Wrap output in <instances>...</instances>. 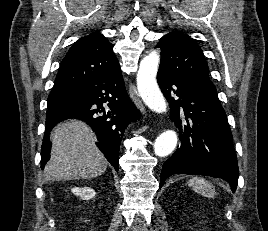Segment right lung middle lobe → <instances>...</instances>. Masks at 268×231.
Listing matches in <instances>:
<instances>
[{
  "label": "right lung middle lobe",
  "instance_id": "1",
  "mask_svg": "<svg viewBox=\"0 0 268 231\" xmlns=\"http://www.w3.org/2000/svg\"><path fill=\"white\" fill-rule=\"evenodd\" d=\"M80 94L79 88H59L53 89L48 97V106L58 105L73 99Z\"/></svg>",
  "mask_w": 268,
  "mask_h": 231
}]
</instances>
